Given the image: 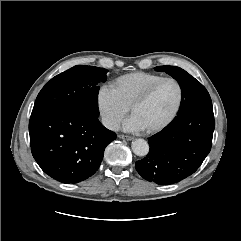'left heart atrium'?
Instances as JSON below:
<instances>
[{
	"label": "left heart atrium",
	"mask_w": 241,
	"mask_h": 241,
	"mask_svg": "<svg viewBox=\"0 0 241 241\" xmlns=\"http://www.w3.org/2000/svg\"><path fill=\"white\" fill-rule=\"evenodd\" d=\"M123 129L130 132H139L146 128L136 116L132 115L123 123Z\"/></svg>",
	"instance_id": "obj_1"
}]
</instances>
